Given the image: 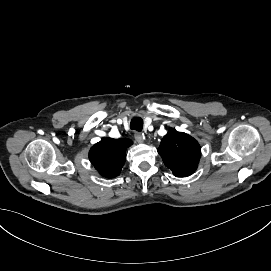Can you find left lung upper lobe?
<instances>
[{
  "mask_svg": "<svg viewBox=\"0 0 271 271\" xmlns=\"http://www.w3.org/2000/svg\"><path fill=\"white\" fill-rule=\"evenodd\" d=\"M158 153L176 177L195 172L200 160V145L190 135L171 128L161 140Z\"/></svg>",
  "mask_w": 271,
  "mask_h": 271,
  "instance_id": "obj_1",
  "label": "left lung upper lobe"
}]
</instances>
